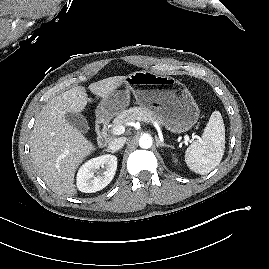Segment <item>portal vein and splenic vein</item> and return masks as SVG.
I'll return each mask as SVG.
<instances>
[{
  "mask_svg": "<svg viewBox=\"0 0 269 269\" xmlns=\"http://www.w3.org/2000/svg\"><path fill=\"white\" fill-rule=\"evenodd\" d=\"M125 132V127L123 125L121 126H117V127H114L113 130H112V133L114 135H121ZM195 138H198L197 136H194ZM184 139L188 142H190V138L188 135H185L184 136Z\"/></svg>",
  "mask_w": 269,
  "mask_h": 269,
  "instance_id": "portal-vein-and-splenic-vein-1",
  "label": "portal vein and splenic vein"
}]
</instances>
